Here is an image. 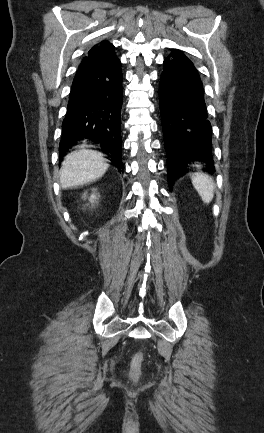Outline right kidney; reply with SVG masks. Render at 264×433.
<instances>
[{
  "label": "right kidney",
  "instance_id": "right-kidney-1",
  "mask_svg": "<svg viewBox=\"0 0 264 433\" xmlns=\"http://www.w3.org/2000/svg\"><path fill=\"white\" fill-rule=\"evenodd\" d=\"M94 198H95V195H92V196H91V199H94Z\"/></svg>",
  "mask_w": 264,
  "mask_h": 433
}]
</instances>
